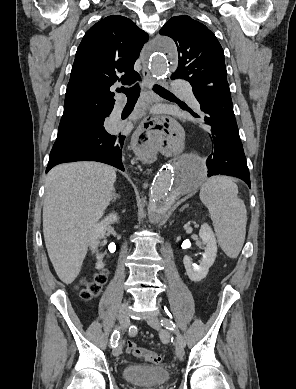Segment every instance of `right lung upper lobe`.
<instances>
[{
	"instance_id": "1",
	"label": "right lung upper lobe",
	"mask_w": 296,
	"mask_h": 389,
	"mask_svg": "<svg viewBox=\"0 0 296 389\" xmlns=\"http://www.w3.org/2000/svg\"><path fill=\"white\" fill-rule=\"evenodd\" d=\"M148 35L123 16L111 15L92 26L75 56L62 118L110 114L115 82L131 85L140 79L133 69Z\"/></svg>"
}]
</instances>
